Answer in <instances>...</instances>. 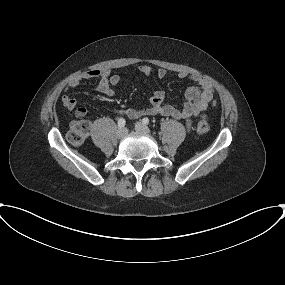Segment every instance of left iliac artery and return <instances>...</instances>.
Instances as JSON below:
<instances>
[{"label":"left iliac artery","mask_w":285,"mask_h":285,"mask_svg":"<svg viewBox=\"0 0 285 285\" xmlns=\"http://www.w3.org/2000/svg\"><path fill=\"white\" fill-rule=\"evenodd\" d=\"M142 122H143V124L148 125L149 119L147 117H145V118H143Z\"/></svg>","instance_id":"obj_1"}]
</instances>
